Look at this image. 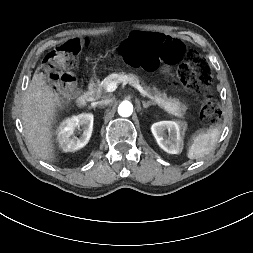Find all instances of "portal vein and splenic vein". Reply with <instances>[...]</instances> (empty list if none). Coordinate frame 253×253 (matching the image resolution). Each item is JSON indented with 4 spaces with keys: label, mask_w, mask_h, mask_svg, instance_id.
Returning <instances> with one entry per match:
<instances>
[{
    "label": "portal vein and splenic vein",
    "mask_w": 253,
    "mask_h": 253,
    "mask_svg": "<svg viewBox=\"0 0 253 253\" xmlns=\"http://www.w3.org/2000/svg\"><path fill=\"white\" fill-rule=\"evenodd\" d=\"M128 83H129L130 85H132L134 88H136L142 95L145 94V91H144V89H143V87H142L141 85L136 84V83L131 82V81H128ZM116 88H117V84L114 83V82H112V83L108 84V86H107V91H108V92H113V91L116 90ZM170 113L177 114V113H175V112H170Z\"/></svg>",
    "instance_id": "portal-vein-and-splenic-vein-1"
}]
</instances>
